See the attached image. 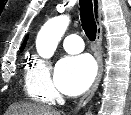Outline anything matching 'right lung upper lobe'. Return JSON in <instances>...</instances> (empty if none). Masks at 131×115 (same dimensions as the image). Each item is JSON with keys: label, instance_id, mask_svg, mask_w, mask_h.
Returning <instances> with one entry per match:
<instances>
[{"label": "right lung upper lobe", "instance_id": "obj_1", "mask_svg": "<svg viewBox=\"0 0 131 115\" xmlns=\"http://www.w3.org/2000/svg\"><path fill=\"white\" fill-rule=\"evenodd\" d=\"M26 40H27V37H26V39H25V42H24V44H23L21 50H23V48H24V46H25V44H26Z\"/></svg>", "mask_w": 131, "mask_h": 115}]
</instances>
